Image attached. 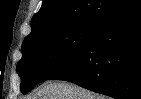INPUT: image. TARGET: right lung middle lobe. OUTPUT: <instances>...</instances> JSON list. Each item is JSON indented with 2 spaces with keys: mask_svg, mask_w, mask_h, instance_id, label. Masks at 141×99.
<instances>
[{
  "mask_svg": "<svg viewBox=\"0 0 141 99\" xmlns=\"http://www.w3.org/2000/svg\"><path fill=\"white\" fill-rule=\"evenodd\" d=\"M100 21H82L23 42L17 64L21 92L26 93L60 71L89 42Z\"/></svg>",
  "mask_w": 141,
  "mask_h": 99,
  "instance_id": "right-lung-middle-lobe-1",
  "label": "right lung middle lobe"
}]
</instances>
